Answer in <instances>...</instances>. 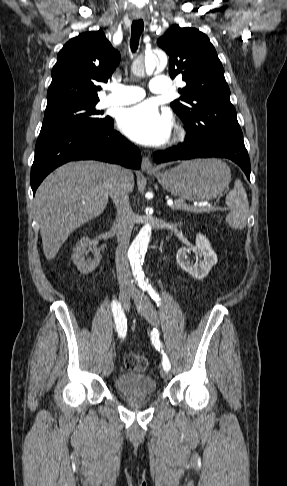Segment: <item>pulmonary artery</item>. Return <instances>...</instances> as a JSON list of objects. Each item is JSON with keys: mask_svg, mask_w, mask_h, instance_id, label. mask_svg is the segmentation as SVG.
Returning <instances> with one entry per match:
<instances>
[{"mask_svg": "<svg viewBox=\"0 0 287 486\" xmlns=\"http://www.w3.org/2000/svg\"><path fill=\"white\" fill-rule=\"evenodd\" d=\"M170 88V81L166 76H156L150 82L152 93H165ZM145 91L137 86H127L122 84L110 86V94L104 99L105 105H129L142 100Z\"/></svg>", "mask_w": 287, "mask_h": 486, "instance_id": "pulmonary-artery-1", "label": "pulmonary artery"}]
</instances>
